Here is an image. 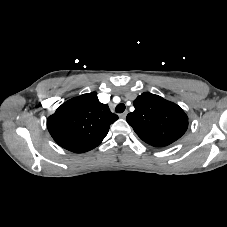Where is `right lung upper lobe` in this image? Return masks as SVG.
Returning <instances> with one entry per match:
<instances>
[{"mask_svg": "<svg viewBox=\"0 0 227 227\" xmlns=\"http://www.w3.org/2000/svg\"><path fill=\"white\" fill-rule=\"evenodd\" d=\"M117 119L107 104L99 102L97 93L92 92L63 103L48 117L47 128L58 145L83 153L97 147Z\"/></svg>", "mask_w": 227, "mask_h": 227, "instance_id": "right-lung-upper-lobe-1", "label": "right lung upper lobe"}]
</instances>
